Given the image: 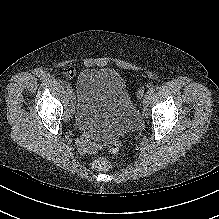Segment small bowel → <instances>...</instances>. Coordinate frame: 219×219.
<instances>
[{"mask_svg":"<svg viewBox=\"0 0 219 219\" xmlns=\"http://www.w3.org/2000/svg\"><path fill=\"white\" fill-rule=\"evenodd\" d=\"M80 146L82 147L84 152H87V153H96L102 147L100 143L87 144L84 141L80 142Z\"/></svg>","mask_w":219,"mask_h":219,"instance_id":"obj_1","label":"small bowel"}]
</instances>
